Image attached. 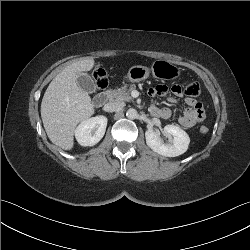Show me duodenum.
I'll return each instance as SVG.
<instances>
[{
	"mask_svg": "<svg viewBox=\"0 0 250 250\" xmlns=\"http://www.w3.org/2000/svg\"><path fill=\"white\" fill-rule=\"evenodd\" d=\"M107 101V93H100L94 98L95 106H102Z\"/></svg>",
	"mask_w": 250,
	"mask_h": 250,
	"instance_id": "410a0bca",
	"label": "duodenum"
}]
</instances>
